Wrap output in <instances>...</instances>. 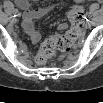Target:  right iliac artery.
I'll return each instance as SVG.
<instances>
[{
    "label": "right iliac artery",
    "instance_id": "right-iliac-artery-1",
    "mask_svg": "<svg viewBox=\"0 0 103 103\" xmlns=\"http://www.w3.org/2000/svg\"><path fill=\"white\" fill-rule=\"evenodd\" d=\"M13 15H14V17L19 16V11L17 9H14L13 10Z\"/></svg>",
    "mask_w": 103,
    "mask_h": 103
}]
</instances>
